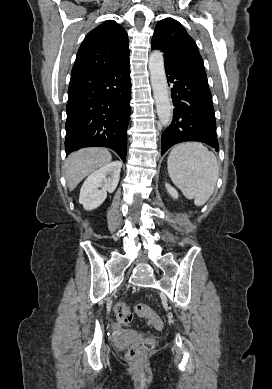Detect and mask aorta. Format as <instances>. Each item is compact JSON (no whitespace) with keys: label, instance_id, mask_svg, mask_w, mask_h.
<instances>
[{"label":"aorta","instance_id":"762f6f07","mask_svg":"<svg viewBox=\"0 0 272 389\" xmlns=\"http://www.w3.org/2000/svg\"><path fill=\"white\" fill-rule=\"evenodd\" d=\"M148 67L159 122L167 126L172 120V104L161 51L155 50L150 54Z\"/></svg>","mask_w":272,"mask_h":389}]
</instances>
